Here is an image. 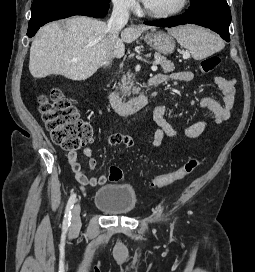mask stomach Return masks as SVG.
<instances>
[{
  "label": "stomach",
  "mask_w": 255,
  "mask_h": 272,
  "mask_svg": "<svg viewBox=\"0 0 255 272\" xmlns=\"http://www.w3.org/2000/svg\"><path fill=\"white\" fill-rule=\"evenodd\" d=\"M146 43L159 53L169 55L174 51L175 40L170 33L152 29L144 36Z\"/></svg>",
  "instance_id": "0dacf381"
}]
</instances>
